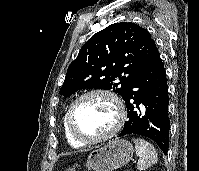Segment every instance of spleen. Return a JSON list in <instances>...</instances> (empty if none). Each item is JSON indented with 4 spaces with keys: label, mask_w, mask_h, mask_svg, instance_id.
<instances>
[{
    "label": "spleen",
    "mask_w": 199,
    "mask_h": 171,
    "mask_svg": "<svg viewBox=\"0 0 199 171\" xmlns=\"http://www.w3.org/2000/svg\"><path fill=\"white\" fill-rule=\"evenodd\" d=\"M132 140L135 143L136 155L139 157L138 170L143 171L157 163L158 155L154 146L144 139L134 138Z\"/></svg>",
    "instance_id": "1"
}]
</instances>
